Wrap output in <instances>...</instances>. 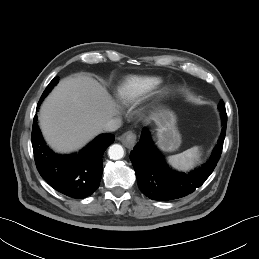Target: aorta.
<instances>
[{
  "label": "aorta",
  "instance_id": "aorta-1",
  "mask_svg": "<svg viewBox=\"0 0 259 259\" xmlns=\"http://www.w3.org/2000/svg\"><path fill=\"white\" fill-rule=\"evenodd\" d=\"M108 155H109L110 159L119 160V159L123 158V156H124V149L121 145L114 144L109 147Z\"/></svg>",
  "mask_w": 259,
  "mask_h": 259
}]
</instances>
